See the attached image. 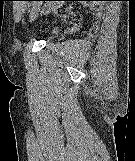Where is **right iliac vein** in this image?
I'll return each mask as SVG.
<instances>
[{
	"instance_id": "right-iliac-vein-1",
	"label": "right iliac vein",
	"mask_w": 135,
	"mask_h": 161,
	"mask_svg": "<svg viewBox=\"0 0 135 161\" xmlns=\"http://www.w3.org/2000/svg\"><path fill=\"white\" fill-rule=\"evenodd\" d=\"M39 11H40L39 5H36L32 8L31 13H30L31 21H34L37 18Z\"/></svg>"
}]
</instances>
